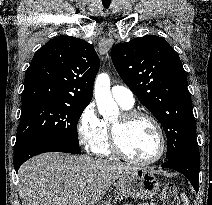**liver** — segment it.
Listing matches in <instances>:
<instances>
[{"label": "liver", "mask_w": 212, "mask_h": 205, "mask_svg": "<svg viewBox=\"0 0 212 205\" xmlns=\"http://www.w3.org/2000/svg\"><path fill=\"white\" fill-rule=\"evenodd\" d=\"M134 169L86 155L43 153L20 167L19 196L22 205H95L115 180ZM82 183H87L84 190Z\"/></svg>", "instance_id": "6515ba94"}]
</instances>
